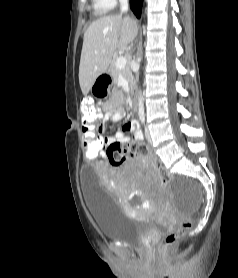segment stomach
Masks as SVG:
<instances>
[{"instance_id": "obj_1", "label": "stomach", "mask_w": 238, "mask_h": 278, "mask_svg": "<svg viewBox=\"0 0 238 278\" xmlns=\"http://www.w3.org/2000/svg\"><path fill=\"white\" fill-rule=\"evenodd\" d=\"M108 86H113L111 75L108 72L99 74L94 84H91L92 95H95L96 99H107V93H109Z\"/></svg>"}]
</instances>
